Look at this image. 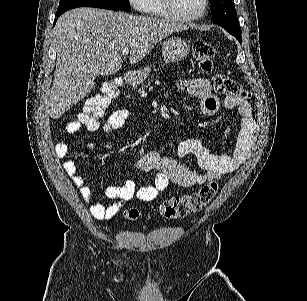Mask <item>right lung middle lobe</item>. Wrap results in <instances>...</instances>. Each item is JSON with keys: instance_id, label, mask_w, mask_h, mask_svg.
Segmentation results:
<instances>
[{"instance_id": "right-lung-middle-lobe-1", "label": "right lung middle lobe", "mask_w": 307, "mask_h": 301, "mask_svg": "<svg viewBox=\"0 0 307 301\" xmlns=\"http://www.w3.org/2000/svg\"><path fill=\"white\" fill-rule=\"evenodd\" d=\"M97 7L115 11L130 12L129 0H61L58 6L57 15L76 7Z\"/></svg>"}]
</instances>
